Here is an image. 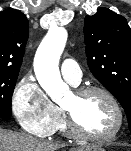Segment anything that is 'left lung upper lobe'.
<instances>
[{"label":"left lung upper lobe","instance_id":"1","mask_svg":"<svg viewBox=\"0 0 131 151\" xmlns=\"http://www.w3.org/2000/svg\"><path fill=\"white\" fill-rule=\"evenodd\" d=\"M84 40L90 71L120 102L131 131V28L123 16L101 8L85 17Z\"/></svg>","mask_w":131,"mask_h":151}]
</instances>
